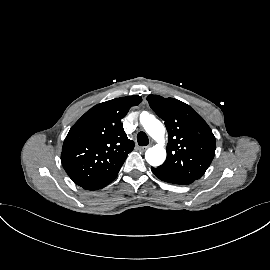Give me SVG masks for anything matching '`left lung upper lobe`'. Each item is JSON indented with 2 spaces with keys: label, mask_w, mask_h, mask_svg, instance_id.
I'll use <instances>...</instances> for the list:
<instances>
[{
  "label": "left lung upper lobe",
  "mask_w": 270,
  "mask_h": 270,
  "mask_svg": "<svg viewBox=\"0 0 270 270\" xmlns=\"http://www.w3.org/2000/svg\"><path fill=\"white\" fill-rule=\"evenodd\" d=\"M152 110L165 121L166 161L159 168L199 179L215 154V137L203 118L189 105L159 95L147 97Z\"/></svg>",
  "instance_id": "5c2ea615"
}]
</instances>
